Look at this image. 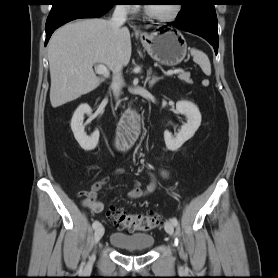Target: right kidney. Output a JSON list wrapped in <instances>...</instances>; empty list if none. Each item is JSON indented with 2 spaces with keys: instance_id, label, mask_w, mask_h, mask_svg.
<instances>
[{
  "instance_id": "right-kidney-1",
  "label": "right kidney",
  "mask_w": 278,
  "mask_h": 278,
  "mask_svg": "<svg viewBox=\"0 0 278 278\" xmlns=\"http://www.w3.org/2000/svg\"><path fill=\"white\" fill-rule=\"evenodd\" d=\"M91 115L92 109L88 104H81L74 112L71 119V129L76 141L85 151H90L96 148L99 141V131L96 130L91 136H87L84 132V115Z\"/></svg>"
}]
</instances>
